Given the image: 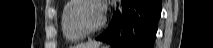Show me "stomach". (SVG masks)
Masks as SVG:
<instances>
[{"label":"stomach","instance_id":"obj_1","mask_svg":"<svg viewBox=\"0 0 213 48\" xmlns=\"http://www.w3.org/2000/svg\"><path fill=\"white\" fill-rule=\"evenodd\" d=\"M98 48H109V47H107V46H101V47H98Z\"/></svg>","mask_w":213,"mask_h":48}]
</instances>
